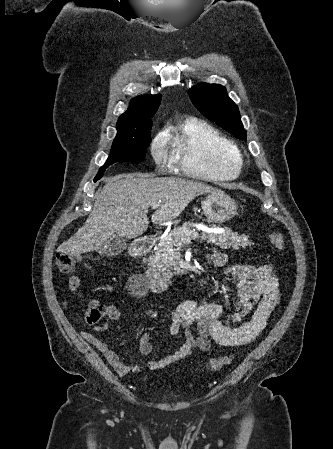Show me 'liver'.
Listing matches in <instances>:
<instances>
[{
	"mask_svg": "<svg viewBox=\"0 0 333 449\" xmlns=\"http://www.w3.org/2000/svg\"><path fill=\"white\" fill-rule=\"evenodd\" d=\"M216 192L198 181L115 175L97 192L94 207L82 228L57 251L81 254L98 250L116 234L136 238L148 228L147 213L152 203L161 201L160 209L152 215V222L157 224L177 218L196 197Z\"/></svg>",
	"mask_w": 333,
	"mask_h": 449,
	"instance_id": "obj_1",
	"label": "liver"
}]
</instances>
